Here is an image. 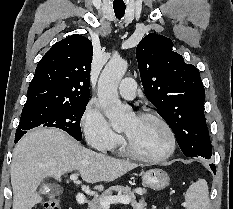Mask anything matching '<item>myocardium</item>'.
<instances>
[{
	"label": "myocardium",
	"mask_w": 233,
	"mask_h": 209,
	"mask_svg": "<svg viewBox=\"0 0 233 209\" xmlns=\"http://www.w3.org/2000/svg\"><path fill=\"white\" fill-rule=\"evenodd\" d=\"M136 117L138 118H152L156 121H158L163 128L165 129L167 136H168V147L166 151L158 156H145L138 151L135 150V148L132 146L129 138L127 135L124 134V150L126 154L133 159H136L141 162L145 163H160L172 156L176 149V137L174 134V131L170 124L167 122L165 118H163L159 113L152 111V110H144L141 112H138L136 114Z\"/></svg>",
	"instance_id": "myocardium-1"
}]
</instances>
